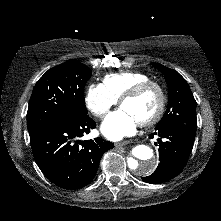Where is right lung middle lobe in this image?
Wrapping results in <instances>:
<instances>
[{"mask_svg":"<svg viewBox=\"0 0 221 221\" xmlns=\"http://www.w3.org/2000/svg\"><path fill=\"white\" fill-rule=\"evenodd\" d=\"M91 74V70L78 61H68L48 70L36 83L30 98L29 134L87 114L83 89Z\"/></svg>","mask_w":221,"mask_h":221,"instance_id":"dd1d6c3e","label":"right lung middle lobe"}]
</instances>
